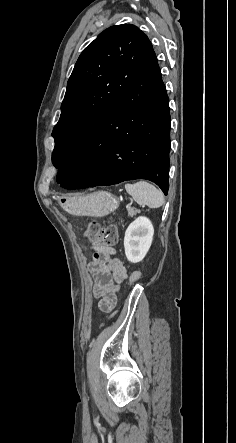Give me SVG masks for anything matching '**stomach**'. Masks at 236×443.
I'll list each match as a JSON object with an SVG mask.
<instances>
[{
  "label": "stomach",
  "instance_id": "1",
  "mask_svg": "<svg viewBox=\"0 0 236 443\" xmlns=\"http://www.w3.org/2000/svg\"><path fill=\"white\" fill-rule=\"evenodd\" d=\"M61 206L71 214L103 217L119 206V201L106 191H98L86 196L62 199Z\"/></svg>",
  "mask_w": 236,
  "mask_h": 443
}]
</instances>
